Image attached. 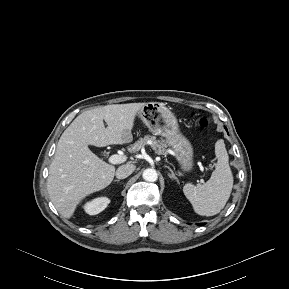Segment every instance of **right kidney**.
Returning a JSON list of instances; mask_svg holds the SVG:
<instances>
[{
  "label": "right kidney",
  "mask_w": 289,
  "mask_h": 289,
  "mask_svg": "<svg viewBox=\"0 0 289 289\" xmlns=\"http://www.w3.org/2000/svg\"><path fill=\"white\" fill-rule=\"evenodd\" d=\"M110 203L107 197L96 198L84 205V210L89 215H96L102 212Z\"/></svg>",
  "instance_id": "ca27d5eb"
}]
</instances>
